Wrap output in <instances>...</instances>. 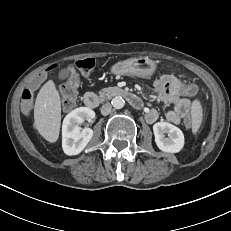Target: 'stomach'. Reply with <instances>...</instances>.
<instances>
[{
    "label": "stomach",
    "mask_w": 231,
    "mask_h": 231,
    "mask_svg": "<svg viewBox=\"0 0 231 231\" xmlns=\"http://www.w3.org/2000/svg\"><path fill=\"white\" fill-rule=\"evenodd\" d=\"M156 71V63L148 57L119 61L111 67V73L120 76L150 78Z\"/></svg>",
    "instance_id": "1"
}]
</instances>
